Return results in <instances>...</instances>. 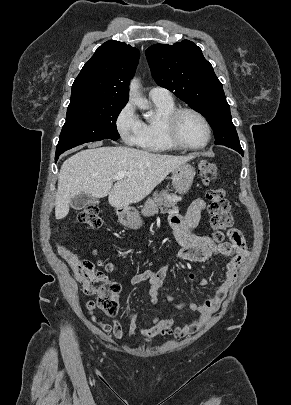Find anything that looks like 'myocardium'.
<instances>
[{
	"label": "myocardium",
	"instance_id": "obj_1",
	"mask_svg": "<svg viewBox=\"0 0 291 405\" xmlns=\"http://www.w3.org/2000/svg\"><path fill=\"white\" fill-rule=\"evenodd\" d=\"M190 113L198 117L204 124L207 131L206 141L199 146H191L186 144L180 137L179 134V122L181 117ZM166 134L170 142L179 149L187 151H199L206 148L212 139V128L208 119L198 110L191 107L176 108L172 113L168 115L165 121Z\"/></svg>",
	"mask_w": 291,
	"mask_h": 405
}]
</instances>
